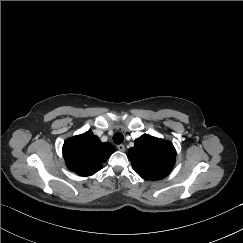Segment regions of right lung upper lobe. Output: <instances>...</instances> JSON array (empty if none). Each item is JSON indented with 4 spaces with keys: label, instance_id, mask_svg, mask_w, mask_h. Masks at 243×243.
Here are the masks:
<instances>
[{
    "label": "right lung upper lobe",
    "instance_id": "cb5924a9",
    "mask_svg": "<svg viewBox=\"0 0 243 243\" xmlns=\"http://www.w3.org/2000/svg\"><path fill=\"white\" fill-rule=\"evenodd\" d=\"M113 152V145L102 143L91 131L69 138L63 145V156L68 169L80 176L95 174Z\"/></svg>",
    "mask_w": 243,
    "mask_h": 243
}]
</instances>
